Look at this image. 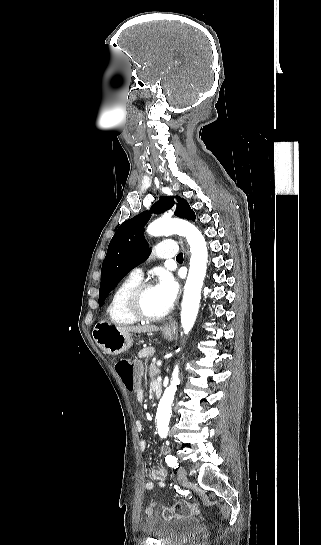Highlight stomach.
<instances>
[{"mask_svg": "<svg viewBox=\"0 0 321 545\" xmlns=\"http://www.w3.org/2000/svg\"><path fill=\"white\" fill-rule=\"evenodd\" d=\"M175 325L173 327H164L163 335L166 339H173ZM93 339L107 355H120L131 349L133 345L132 333H121L115 325L107 321H98L93 329Z\"/></svg>", "mask_w": 321, "mask_h": 545, "instance_id": "obj_1", "label": "stomach"}]
</instances>
